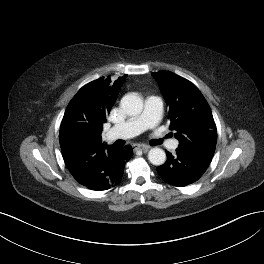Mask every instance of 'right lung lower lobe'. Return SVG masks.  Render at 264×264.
Returning <instances> with one entry per match:
<instances>
[{
	"instance_id": "right-lung-lower-lobe-1",
	"label": "right lung lower lobe",
	"mask_w": 264,
	"mask_h": 264,
	"mask_svg": "<svg viewBox=\"0 0 264 264\" xmlns=\"http://www.w3.org/2000/svg\"><path fill=\"white\" fill-rule=\"evenodd\" d=\"M62 156L78 183L91 190L102 191L121 181L132 151L129 146L119 148L97 142L63 149Z\"/></svg>"
}]
</instances>
